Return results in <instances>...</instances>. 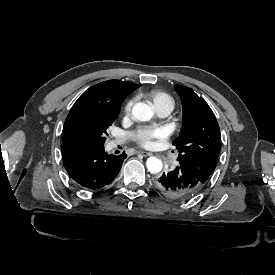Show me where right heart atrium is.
I'll return each instance as SVG.
<instances>
[{
	"label": "right heart atrium",
	"mask_w": 275,
	"mask_h": 275,
	"mask_svg": "<svg viewBox=\"0 0 275 275\" xmlns=\"http://www.w3.org/2000/svg\"><path fill=\"white\" fill-rule=\"evenodd\" d=\"M133 102L129 101L125 106V115L129 116L132 109Z\"/></svg>",
	"instance_id": "1"
}]
</instances>
